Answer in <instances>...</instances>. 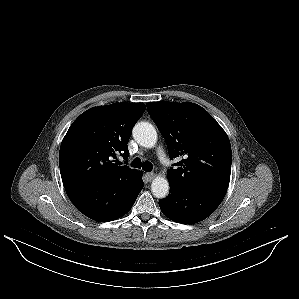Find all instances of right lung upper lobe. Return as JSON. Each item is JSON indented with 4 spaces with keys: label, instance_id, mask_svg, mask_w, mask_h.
Returning a JSON list of instances; mask_svg holds the SVG:
<instances>
[{
    "label": "right lung upper lobe",
    "instance_id": "1",
    "mask_svg": "<svg viewBox=\"0 0 299 299\" xmlns=\"http://www.w3.org/2000/svg\"><path fill=\"white\" fill-rule=\"evenodd\" d=\"M143 103H114L82 113L70 126L59 152L65 188L108 179L123 180L135 187L141 172L118 166L112 158H128V141L134 124L143 115Z\"/></svg>",
    "mask_w": 299,
    "mask_h": 299
}]
</instances>
